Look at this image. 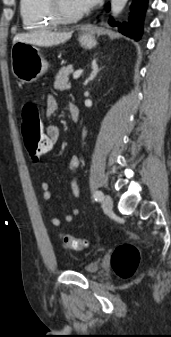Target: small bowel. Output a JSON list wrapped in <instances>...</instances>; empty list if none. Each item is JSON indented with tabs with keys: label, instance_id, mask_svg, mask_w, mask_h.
<instances>
[{
	"label": "small bowel",
	"instance_id": "obj_1",
	"mask_svg": "<svg viewBox=\"0 0 171 337\" xmlns=\"http://www.w3.org/2000/svg\"><path fill=\"white\" fill-rule=\"evenodd\" d=\"M59 109V102L58 100L50 96L47 98L46 101V114L48 116L53 115L55 112H57ZM45 134L48 140H52V146L56 144L59 141L60 138V130L55 125H49L45 129ZM68 170L71 173H75L79 167L81 166V159L77 155H73L68 160ZM70 190L74 197H79L80 195V187L78 184V181L75 176H72L69 182ZM41 191H42V199L46 202L50 201L51 199V191H50V185L48 182H42L41 185ZM80 214V210L78 207H73L69 213H67L64 217L65 221L67 223H70L74 220L75 217H77ZM50 223L53 227H60L61 220L58 217H51Z\"/></svg>",
	"mask_w": 171,
	"mask_h": 337
}]
</instances>
